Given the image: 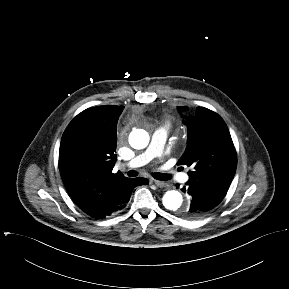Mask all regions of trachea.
Instances as JSON below:
<instances>
[{
    "label": "trachea",
    "instance_id": "trachea-1",
    "mask_svg": "<svg viewBox=\"0 0 289 289\" xmlns=\"http://www.w3.org/2000/svg\"><path fill=\"white\" fill-rule=\"evenodd\" d=\"M127 175L129 177H136L138 175V173L135 170H130L127 172ZM153 176L155 179L162 180V181H166V180H169L171 178L170 175L164 174V173H154Z\"/></svg>",
    "mask_w": 289,
    "mask_h": 289
}]
</instances>
